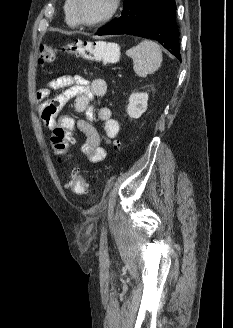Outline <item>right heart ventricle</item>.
I'll list each match as a JSON object with an SVG mask.
<instances>
[{
	"mask_svg": "<svg viewBox=\"0 0 233 328\" xmlns=\"http://www.w3.org/2000/svg\"><path fill=\"white\" fill-rule=\"evenodd\" d=\"M65 21L70 27H77L78 23L74 14V0H66L64 4Z\"/></svg>",
	"mask_w": 233,
	"mask_h": 328,
	"instance_id": "obj_1",
	"label": "right heart ventricle"
}]
</instances>
